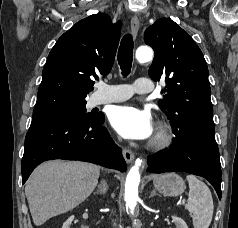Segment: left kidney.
<instances>
[{
    "label": "left kidney",
    "mask_w": 238,
    "mask_h": 228,
    "mask_svg": "<svg viewBox=\"0 0 238 228\" xmlns=\"http://www.w3.org/2000/svg\"><path fill=\"white\" fill-rule=\"evenodd\" d=\"M172 221L174 222L176 228H188L186 222L180 217L172 216Z\"/></svg>",
    "instance_id": "5707ae66"
}]
</instances>
